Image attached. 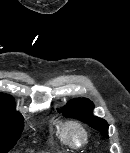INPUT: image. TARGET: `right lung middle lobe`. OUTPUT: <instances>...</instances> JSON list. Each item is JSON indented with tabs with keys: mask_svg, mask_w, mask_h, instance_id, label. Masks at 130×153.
Segmentation results:
<instances>
[{
	"mask_svg": "<svg viewBox=\"0 0 130 153\" xmlns=\"http://www.w3.org/2000/svg\"><path fill=\"white\" fill-rule=\"evenodd\" d=\"M23 128L24 119L19 113H0V153H7L15 146Z\"/></svg>",
	"mask_w": 130,
	"mask_h": 153,
	"instance_id": "1",
	"label": "right lung middle lobe"
}]
</instances>
